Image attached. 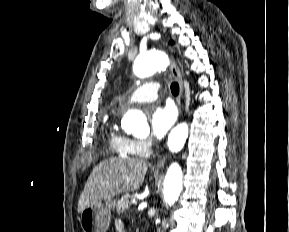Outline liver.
I'll list each match as a JSON object with an SVG mask.
<instances>
[{
    "label": "liver",
    "instance_id": "6515ba94",
    "mask_svg": "<svg viewBox=\"0 0 289 232\" xmlns=\"http://www.w3.org/2000/svg\"><path fill=\"white\" fill-rule=\"evenodd\" d=\"M148 163L140 159L110 158L92 170L78 201V212L92 204L135 191L142 185Z\"/></svg>",
    "mask_w": 289,
    "mask_h": 232
}]
</instances>
